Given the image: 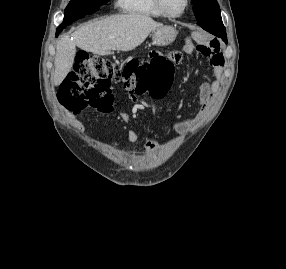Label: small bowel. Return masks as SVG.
<instances>
[{"label":"small bowel","mask_w":286,"mask_h":269,"mask_svg":"<svg viewBox=\"0 0 286 269\" xmlns=\"http://www.w3.org/2000/svg\"><path fill=\"white\" fill-rule=\"evenodd\" d=\"M193 44L187 42L184 50L186 53L193 51ZM196 49V48H195ZM196 51L202 56L210 60L213 68V78L210 81L204 82L199 87V103H198V114L193 118H186L183 120L175 121L171 124V128L181 133H188L191 128L196 126L200 120L207 114L213 95L219 90L220 81L222 78V70L224 65L223 55L220 50V46L216 43L209 42L208 48L205 46L201 50ZM177 57L174 59V64H180L182 58L178 52H175ZM128 99H135V94H128ZM123 118L130 120V114L124 113ZM141 136V132L137 129H130L127 133V139L130 143H136ZM146 152L148 156H153L157 152V143L150 137L145 136ZM135 153H132V157Z\"/></svg>","instance_id":"c3829d8e"}]
</instances>
